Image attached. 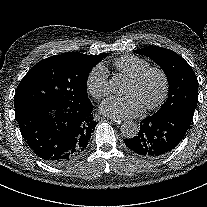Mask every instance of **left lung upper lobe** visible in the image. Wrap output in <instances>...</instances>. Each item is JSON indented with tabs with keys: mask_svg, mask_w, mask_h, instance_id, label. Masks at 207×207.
<instances>
[{
	"mask_svg": "<svg viewBox=\"0 0 207 207\" xmlns=\"http://www.w3.org/2000/svg\"><path fill=\"white\" fill-rule=\"evenodd\" d=\"M134 52L154 60L167 76L168 99L155 114L176 112L192 120L198 100V80L186 60L174 51L157 46L144 47Z\"/></svg>",
	"mask_w": 207,
	"mask_h": 207,
	"instance_id": "left-lung-upper-lobe-1",
	"label": "left lung upper lobe"
}]
</instances>
